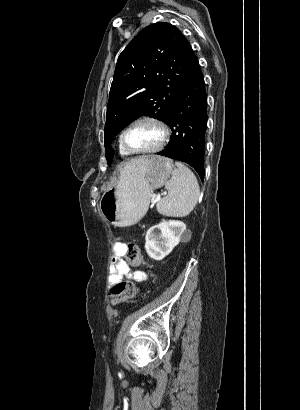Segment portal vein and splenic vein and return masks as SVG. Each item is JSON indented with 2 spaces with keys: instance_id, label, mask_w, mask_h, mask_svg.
Listing matches in <instances>:
<instances>
[{
  "instance_id": "18ae733b",
  "label": "portal vein and splenic vein",
  "mask_w": 300,
  "mask_h": 410,
  "mask_svg": "<svg viewBox=\"0 0 300 410\" xmlns=\"http://www.w3.org/2000/svg\"><path fill=\"white\" fill-rule=\"evenodd\" d=\"M151 198H152L153 201H154V200H158V196H157L156 194H152V195H151Z\"/></svg>"
}]
</instances>
